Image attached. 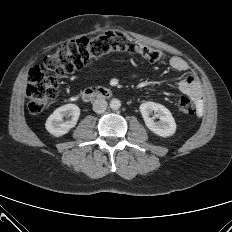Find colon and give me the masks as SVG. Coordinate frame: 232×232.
Instances as JSON below:
<instances>
[{
  "instance_id": "colon-1",
  "label": "colon",
  "mask_w": 232,
  "mask_h": 232,
  "mask_svg": "<svg viewBox=\"0 0 232 232\" xmlns=\"http://www.w3.org/2000/svg\"><path fill=\"white\" fill-rule=\"evenodd\" d=\"M114 52L139 53L151 62L162 61L165 57L161 50L141 43L121 31H109L97 37H83L67 42L29 71L26 84L29 111L33 114L40 113L56 98L58 83L49 73L68 75ZM178 110L184 115L195 113L193 102L187 97L179 99Z\"/></svg>"
}]
</instances>
